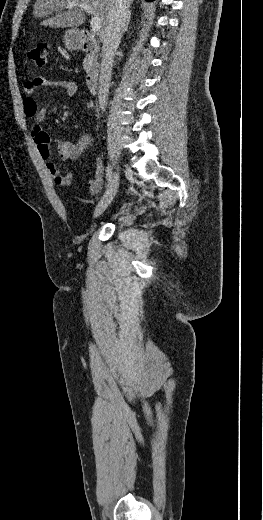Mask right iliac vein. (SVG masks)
<instances>
[{
	"label": "right iliac vein",
	"mask_w": 263,
	"mask_h": 520,
	"mask_svg": "<svg viewBox=\"0 0 263 520\" xmlns=\"http://www.w3.org/2000/svg\"><path fill=\"white\" fill-rule=\"evenodd\" d=\"M119 179H120V167H117V170L114 172L113 177L111 178V180L108 184V188H107L105 194L103 195L102 199L100 200V202L98 203V205L94 211L95 218L100 216L106 210V208L110 205L112 200L114 199V197L117 193Z\"/></svg>",
	"instance_id": "1"
}]
</instances>
